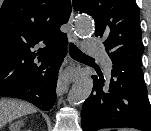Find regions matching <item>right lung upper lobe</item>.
<instances>
[{"mask_svg":"<svg viewBox=\"0 0 151 131\" xmlns=\"http://www.w3.org/2000/svg\"><path fill=\"white\" fill-rule=\"evenodd\" d=\"M70 14V0H4L0 9V91L34 74L53 48L67 41L60 26ZM39 45L42 48L34 51Z\"/></svg>","mask_w":151,"mask_h":131,"instance_id":"1","label":"right lung upper lobe"}]
</instances>
